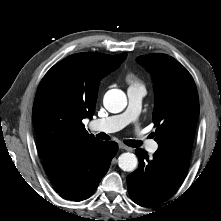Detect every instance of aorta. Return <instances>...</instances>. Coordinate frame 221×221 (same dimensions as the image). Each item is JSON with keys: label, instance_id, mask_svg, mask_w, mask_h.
<instances>
[{"label": "aorta", "instance_id": "1", "mask_svg": "<svg viewBox=\"0 0 221 221\" xmlns=\"http://www.w3.org/2000/svg\"><path fill=\"white\" fill-rule=\"evenodd\" d=\"M103 104L109 112L119 113L126 107L127 98L123 91L119 89H111L104 95ZM137 164V157L133 153H123L118 158V165L123 171H134Z\"/></svg>", "mask_w": 221, "mask_h": 221}]
</instances>
